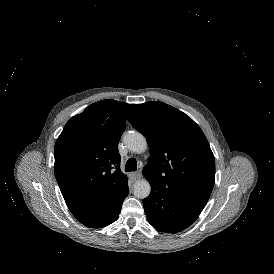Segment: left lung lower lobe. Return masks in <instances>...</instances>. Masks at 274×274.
I'll list each match as a JSON object with an SVG mask.
<instances>
[{
  "mask_svg": "<svg viewBox=\"0 0 274 274\" xmlns=\"http://www.w3.org/2000/svg\"><path fill=\"white\" fill-rule=\"evenodd\" d=\"M151 193L143 200L148 222L157 230L177 233L190 226L206 202L189 199L150 182Z\"/></svg>",
  "mask_w": 274,
  "mask_h": 274,
  "instance_id": "1",
  "label": "left lung lower lobe"
}]
</instances>
